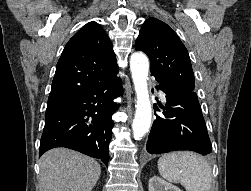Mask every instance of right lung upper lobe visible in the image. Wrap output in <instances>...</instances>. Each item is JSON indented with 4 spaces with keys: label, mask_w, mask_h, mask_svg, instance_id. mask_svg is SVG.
<instances>
[{
    "label": "right lung upper lobe",
    "mask_w": 251,
    "mask_h": 191,
    "mask_svg": "<svg viewBox=\"0 0 251 191\" xmlns=\"http://www.w3.org/2000/svg\"><path fill=\"white\" fill-rule=\"evenodd\" d=\"M112 43L96 22L84 25L66 44L48 98L51 108L104 84L118 73Z\"/></svg>",
    "instance_id": "1"
}]
</instances>
